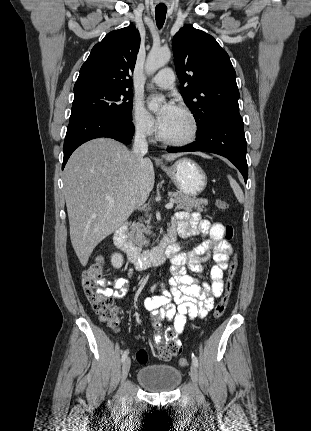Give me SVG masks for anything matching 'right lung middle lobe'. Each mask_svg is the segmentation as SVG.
I'll return each mask as SVG.
<instances>
[{"label": "right lung middle lobe", "mask_w": 311, "mask_h": 431, "mask_svg": "<svg viewBox=\"0 0 311 431\" xmlns=\"http://www.w3.org/2000/svg\"><path fill=\"white\" fill-rule=\"evenodd\" d=\"M131 90L84 89L74 92L70 119L85 114H103L131 119Z\"/></svg>", "instance_id": "dd1d6c3e"}]
</instances>
